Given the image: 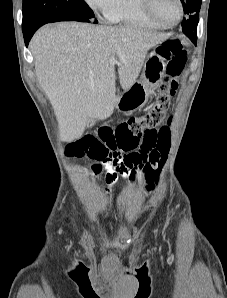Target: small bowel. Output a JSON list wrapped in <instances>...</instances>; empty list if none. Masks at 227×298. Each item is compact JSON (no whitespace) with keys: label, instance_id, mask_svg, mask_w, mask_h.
Returning <instances> with one entry per match:
<instances>
[{"label":"small bowel","instance_id":"1","mask_svg":"<svg viewBox=\"0 0 227 298\" xmlns=\"http://www.w3.org/2000/svg\"><path fill=\"white\" fill-rule=\"evenodd\" d=\"M82 138L64 142L63 146L70 151L68 158H99L93 159L95 163L91 166V176H96L103 169L106 171L104 196L107 207H110L113 198L112 186L119 177L128 179L134 185L143 177L151 187V173L155 172L158 164H163L143 151L110 150L104 139H96V134H83Z\"/></svg>","mask_w":227,"mask_h":298}]
</instances>
